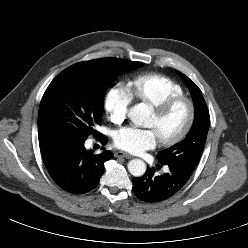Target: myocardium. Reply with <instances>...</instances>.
Wrapping results in <instances>:
<instances>
[{
	"label": "myocardium",
	"mask_w": 248,
	"mask_h": 248,
	"mask_svg": "<svg viewBox=\"0 0 248 248\" xmlns=\"http://www.w3.org/2000/svg\"><path fill=\"white\" fill-rule=\"evenodd\" d=\"M185 103L188 108V117L184 127L174 136L166 139H160V143L163 146H173L181 142L191 131L195 117H196V106L194 101L185 96L178 95L165 99L158 105L153 106V112L158 118L166 116L176 105Z\"/></svg>",
	"instance_id": "1"
}]
</instances>
